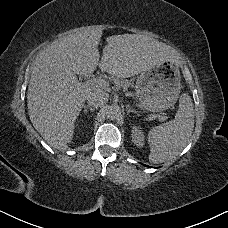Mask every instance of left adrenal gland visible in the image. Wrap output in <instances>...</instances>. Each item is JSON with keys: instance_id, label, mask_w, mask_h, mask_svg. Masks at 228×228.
Here are the masks:
<instances>
[{"instance_id": "1", "label": "left adrenal gland", "mask_w": 228, "mask_h": 228, "mask_svg": "<svg viewBox=\"0 0 228 228\" xmlns=\"http://www.w3.org/2000/svg\"><path fill=\"white\" fill-rule=\"evenodd\" d=\"M126 110H127V115H130L131 113H133L135 116H138V114L134 111L132 107L127 106Z\"/></svg>"}]
</instances>
